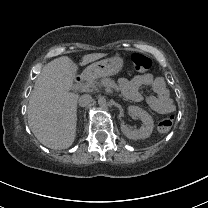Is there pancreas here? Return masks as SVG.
Segmentation results:
<instances>
[{"label":"pancreas","instance_id":"1","mask_svg":"<svg viewBox=\"0 0 208 208\" xmlns=\"http://www.w3.org/2000/svg\"><path fill=\"white\" fill-rule=\"evenodd\" d=\"M105 78H102L100 80H88L86 83V86L83 87L85 91L92 92L94 90H98V88L103 86V83L105 82Z\"/></svg>","mask_w":208,"mask_h":208}]
</instances>
